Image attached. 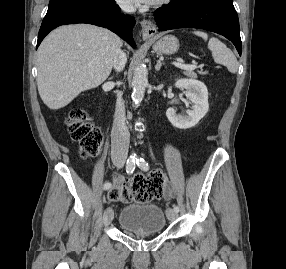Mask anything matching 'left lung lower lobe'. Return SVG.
Here are the masks:
<instances>
[{"label": "left lung lower lobe", "mask_w": 286, "mask_h": 269, "mask_svg": "<svg viewBox=\"0 0 286 269\" xmlns=\"http://www.w3.org/2000/svg\"><path fill=\"white\" fill-rule=\"evenodd\" d=\"M155 12L160 31L177 28L213 31L232 41L241 55L239 20L232 0H171Z\"/></svg>", "instance_id": "0a47b994"}]
</instances>
